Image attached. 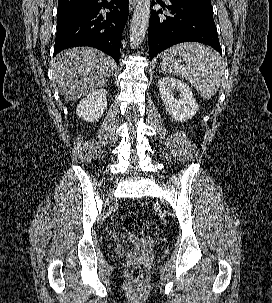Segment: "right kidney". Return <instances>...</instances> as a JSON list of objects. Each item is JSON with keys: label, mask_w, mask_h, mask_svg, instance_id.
I'll use <instances>...</instances> for the list:
<instances>
[{"label": "right kidney", "mask_w": 272, "mask_h": 303, "mask_svg": "<svg viewBox=\"0 0 272 303\" xmlns=\"http://www.w3.org/2000/svg\"><path fill=\"white\" fill-rule=\"evenodd\" d=\"M107 108V91L99 89L89 93L77 106L76 113L86 122H96Z\"/></svg>", "instance_id": "obj_1"}]
</instances>
